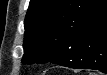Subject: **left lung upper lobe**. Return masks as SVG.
<instances>
[{
  "label": "left lung upper lobe",
  "mask_w": 107,
  "mask_h": 75,
  "mask_svg": "<svg viewBox=\"0 0 107 75\" xmlns=\"http://www.w3.org/2000/svg\"><path fill=\"white\" fill-rule=\"evenodd\" d=\"M95 4V0H31L24 21L22 63H53L51 51L76 38L78 22Z\"/></svg>",
  "instance_id": "5c2ea615"
}]
</instances>
